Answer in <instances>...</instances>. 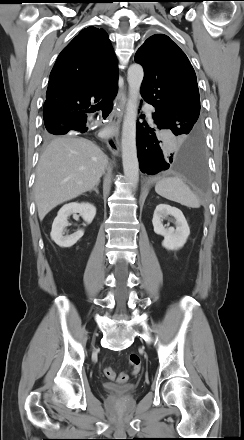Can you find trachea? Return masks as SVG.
<instances>
[{
  "label": "trachea",
  "mask_w": 244,
  "mask_h": 440,
  "mask_svg": "<svg viewBox=\"0 0 244 440\" xmlns=\"http://www.w3.org/2000/svg\"><path fill=\"white\" fill-rule=\"evenodd\" d=\"M102 110V113H110L112 110V103L107 100V99H103L101 102H99L97 105L92 106L89 111L90 112H95L97 110Z\"/></svg>",
  "instance_id": "1"
}]
</instances>
